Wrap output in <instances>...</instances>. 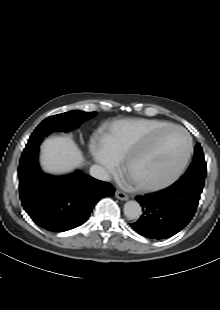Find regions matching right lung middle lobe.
Returning <instances> with one entry per match:
<instances>
[{
	"mask_svg": "<svg viewBox=\"0 0 220 310\" xmlns=\"http://www.w3.org/2000/svg\"><path fill=\"white\" fill-rule=\"evenodd\" d=\"M96 112H83L79 110L50 116L43 120L34 130L27 143L28 147L38 146L43 137L53 131H69L86 120L93 118Z\"/></svg>",
	"mask_w": 220,
	"mask_h": 310,
	"instance_id": "1",
	"label": "right lung middle lobe"
}]
</instances>
